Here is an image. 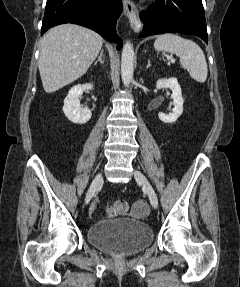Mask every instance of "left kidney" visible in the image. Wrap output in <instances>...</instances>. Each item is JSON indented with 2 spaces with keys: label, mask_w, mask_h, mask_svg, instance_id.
Here are the masks:
<instances>
[{
  "label": "left kidney",
  "mask_w": 240,
  "mask_h": 287,
  "mask_svg": "<svg viewBox=\"0 0 240 287\" xmlns=\"http://www.w3.org/2000/svg\"><path fill=\"white\" fill-rule=\"evenodd\" d=\"M156 88L157 89H162V88H169L172 90V99H173V104L174 108L172 109V112L169 114H165L160 112L158 114L159 119L164 122V123H174L176 120L179 118V116L183 112V103L184 100L182 98L181 94V87L177 81L176 78H166V79H159L156 82Z\"/></svg>",
  "instance_id": "5707ae66"
}]
</instances>
